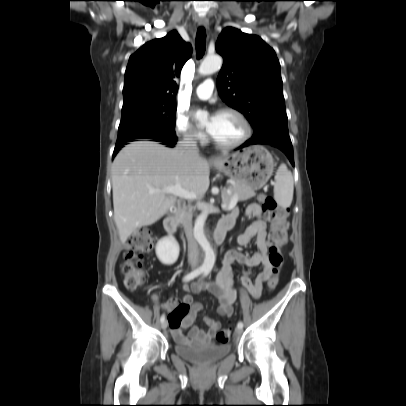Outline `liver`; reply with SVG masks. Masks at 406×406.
Listing matches in <instances>:
<instances>
[{"instance_id": "1", "label": "liver", "mask_w": 406, "mask_h": 406, "mask_svg": "<svg viewBox=\"0 0 406 406\" xmlns=\"http://www.w3.org/2000/svg\"><path fill=\"white\" fill-rule=\"evenodd\" d=\"M209 164L202 158L185 157L153 141H134L125 146L112 165L114 221L121 243L139 227L158 221L175 204V196L151 190L179 185L203 195L209 188Z\"/></svg>"}]
</instances>
